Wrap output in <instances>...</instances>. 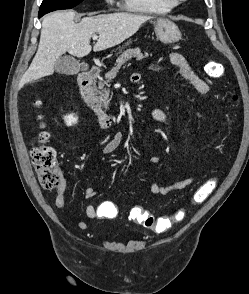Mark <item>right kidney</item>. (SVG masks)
Wrapping results in <instances>:
<instances>
[{
    "instance_id": "obj_1",
    "label": "right kidney",
    "mask_w": 249,
    "mask_h": 294,
    "mask_svg": "<svg viewBox=\"0 0 249 294\" xmlns=\"http://www.w3.org/2000/svg\"><path fill=\"white\" fill-rule=\"evenodd\" d=\"M64 121L67 126H72L78 122V116L76 114H69L64 116Z\"/></svg>"
}]
</instances>
